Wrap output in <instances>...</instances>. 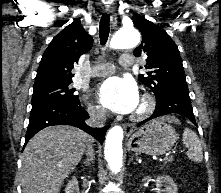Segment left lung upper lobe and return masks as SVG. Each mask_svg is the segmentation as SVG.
<instances>
[{
    "mask_svg": "<svg viewBox=\"0 0 221 193\" xmlns=\"http://www.w3.org/2000/svg\"><path fill=\"white\" fill-rule=\"evenodd\" d=\"M133 22L142 34V42L133 53L147 56L144 67L148 72L139 75V81L153 91L156 100L175 88L187 87L178 47L166 31L139 14L133 15Z\"/></svg>",
    "mask_w": 221,
    "mask_h": 193,
    "instance_id": "obj_1",
    "label": "left lung upper lobe"
}]
</instances>
